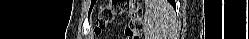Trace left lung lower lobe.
Listing matches in <instances>:
<instances>
[{"mask_svg": "<svg viewBox=\"0 0 249 39\" xmlns=\"http://www.w3.org/2000/svg\"><path fill=\"white\" fill-rule=\"evenodd\" d=\"M170 3L175 7V2L173 0L170 1Z\"/></svg>", "mask_w": 249, "mask_h": 39, "instance_id": "1", "label": "left lung lower lobe"}]
</instances>
